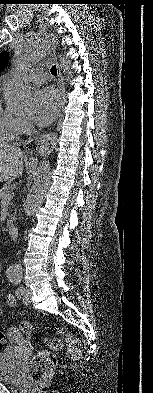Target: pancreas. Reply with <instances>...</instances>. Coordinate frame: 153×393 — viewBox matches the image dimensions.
<instances>
[{
  "label": "pancreas",
  "instance_id": "obj_1",
  "mask_svg": "<svg viewBox=\"0 0 153 393\" xmlns=\"http://www.w3.org/2000/svg\"><path fill=\"white\" fill-rule=\"evenodd\" d=\"M12 185L10 183H5L2 188L0 189V199L4 200L6 195L11 193ZM12 222V218L7 220V224Z\"/></svg>",
  "mask_w": 153,
  "mask_h": 393
}]
</instances>
